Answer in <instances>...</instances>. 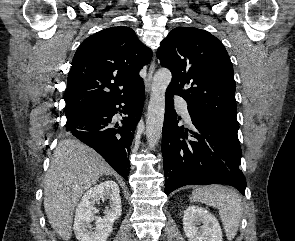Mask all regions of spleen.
Returning a JSON list of instances; mask_svg holds the SVG:
<instances>
[{
  "label": "spleen",
  "instance_id": "3e777b00",
  "mask_svg": "<svg viewBox=\"0 0 295 241\" xmlns=\"http://www.w3.org/2000/svg\"><path fill=\"white\" fill-rule=\"evenodd\" d=\"M190 199L217 208L227 239L231 241L235 237L242 218V203L238 193L226 186L210 185L196 188Z\"/></svg>",
  "mask_w": 295,
  "mask_h": 241
}]
</instances>
